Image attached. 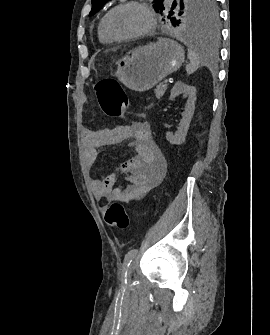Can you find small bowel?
<instances>
[{
	"label": "small bowel",
	"instance_id": "obj_1",
	"mask_svg": "<svg viewBox=\"0 0 270 335\" xmlns=\"http://www.w3.org/2000/svg\"><path fill=\"white\" fill-rule=\"evenodd\" d=\"M104 132H86V163H96L99 148L103 143ZM120 140H132L136 156L122 163L115 172L91 182L97 198L121 203H131L140 199L157 186L165 173L166 161L155 145L150 125L145 121L134 122L118 129ZM124 174L126 184L115 188L119 176Z\"/></svg>",
	"mask_w": 270,
	"mask_h": 335
}]
</instances>
